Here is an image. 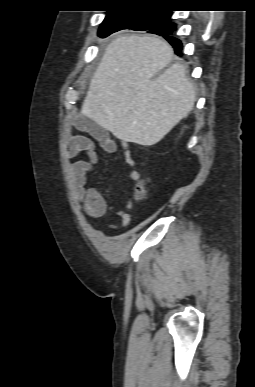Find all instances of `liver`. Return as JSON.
Segmentation results:
<instances>
[{"label":"liver","instance_id":"liver-1","mask_svg":"<svg viewBox=\"0 0 255 387\" xmlns=\"http://www.w3.org/2000/svg\"><path fill=\"white\" fill-rule=\"evenodd\" d=\"M173 55L171 45L156 36L117 37L93 74L81 113L123 142L158 143L195 103L184 66L165 69Z\"/></svg>","mask_w":255,"mask_h":387}]
</instances>
